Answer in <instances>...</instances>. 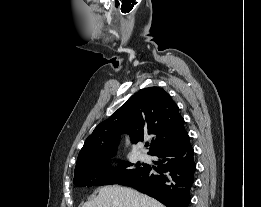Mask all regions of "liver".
Listing matches in <instances>:
<instances>
[{"label": "liver", "mask_w": 261, "mask_h": 207, "mask_svg": "<svg viewBox=\"0 0 261 207\" xmlns=\"http://www.w3.org/2000/svg\"><path fill=\"white\" fill-rule=\"evenodd\" d=\"M98 195L83 207H165L157 200L118 185L98 188Z\"/></svg>", "instance_id": "6515ba94"}]
</instances>
